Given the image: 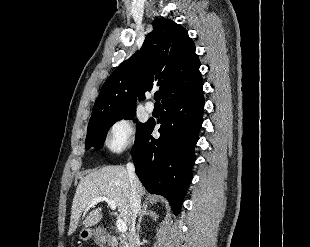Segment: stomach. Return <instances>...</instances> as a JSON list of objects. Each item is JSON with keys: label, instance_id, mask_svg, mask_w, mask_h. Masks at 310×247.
<instances>
[{"label": "stomach", "instance_id": "0dacf381", "mask_svg": "<svg viewBox=\"0 0 310 247\" xmlns=\"http://www.w3.org/2000/svg\"><path fill=\"white\" fill-rule=\"evenodd\" d=\"M93 235H97V233L95 232V230H92L90 228H84L80 231L79 233V238L82 241H87L89 240Z\"/></svg>", "mask_w": 310, "mask_h": 247}]
</instances>
